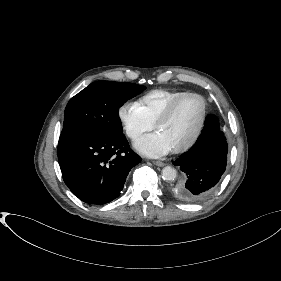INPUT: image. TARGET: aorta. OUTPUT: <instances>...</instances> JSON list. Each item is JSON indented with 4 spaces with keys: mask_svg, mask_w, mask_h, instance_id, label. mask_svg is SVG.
Segmentation results:
<instances>
[{
    "mask_svg": "<svg viewBox=\"0 0 281 281\" xmlns=\"http://www.w3.org/2000/svg\"><path fill=\"white\" fill-rule=\"evenodd\" d=\"M177 177V171L171 166H166L162 169V178L165 181H174Z\"/></svg>",
    "mask_w": 281,
    "mask_h": 281,
    "instance_id": "obj_1",
    "label": "aorta"
}]
</instances>
